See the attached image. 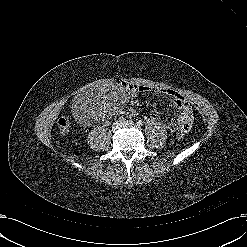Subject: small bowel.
Segmentation results:
<instances>
[{
  "label": "small bowel",
  "instance_id": "small-bowel-1",
  "mask_svg": "<svg viewBox=\"0 0 247 247\" xmlns=\"http://www.w3.org/2000/svg\"><path fill=\"white\" fill-rule=\"evenodd\" d=\"M147 91H154L157 93L165 94L171 98L173 106L178 111V116L169 120V125L172 129H177L180 127L186 129L190 128L193 121L192 109L183 95L175 90L162 88L159 86L133 85L131 88V93L133 95ZM156 117V114H152L150 116L151 119H154Z\"/></svg>",
  "mask_w": 247,
  "mask_h": 247
}]
</instances>
